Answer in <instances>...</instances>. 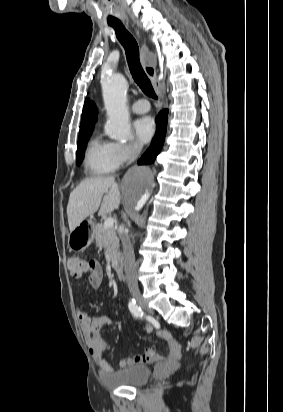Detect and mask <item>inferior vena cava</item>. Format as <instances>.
I'll return each mask as SVG.
<instances>
[{
  "label": "inferior vena cava",
  "instance_id": "1",
  "mask_svg": "<svg viewBox=\"0 0 283 412\" xmlns=\"http://www.w3.org/2000/svg\"><path fill=\"white\" fill-rule=\"evenodd\" d=\"M141 148L135 146L133 152L129 158L128 164H131L136 160L140 153ZM120 239L123 246V253H124V270L126 274L127 284L131 287L137 286V278H136V263H135V255L134 250L132 248L131 240L128 234V231L125 227L122 228L120 232Z\"/></svg>",
  "mask_w": 283,
  "mask_h": 412
}]
</instances>
